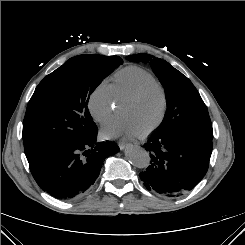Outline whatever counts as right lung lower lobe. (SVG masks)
Masks as SVG:
<instances>
[{"label":"right lung lower lobe","instance_id":"98d812e1","mask_svg":"<svg viewBox=\"0 0 245 245\" xmlns=\"http://www.w3.org/2000/svg\"><path fill=\"white\" fill-rule=\"evenodd\" d=\"M98 129L81 141L65 143L28 160L39 187L59 199L82 196L94 184L102 160L119 151L111 141L97 142Z\"/></svg>","mask_w":245,"mask_h":245}]
</instances>
